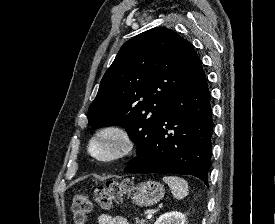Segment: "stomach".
<instances>
[{
	"label": "stomach",
	"instance_id": "1",
	"mask_svg": "<svg viewBox=\"0 0 275 224\" xmlns=\"http://www.w3.org/2000/svg\"><path fill=\"white\" fill-rule=\"evenodd\" d=\"M136 192L133 194V202L138 206H152L158 203L165 193L162 184L156 181H147L139 183L135 188Z\"/></svg>",
	"mask_w": 275,
	"mask_h": 224
}]
</instances>
